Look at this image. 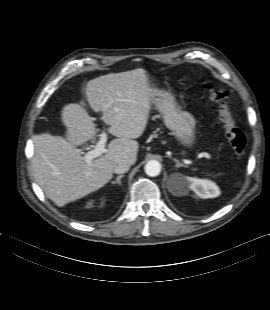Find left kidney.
<instances>
[{"instance_id":"1","label":"left kidney","mask_w":270,"mask_h":310,"mask_svg":"<svg viewBox=\"0 0 270 310\" xmlns=\"http://www.w3.org/2000/svg\"><path fill=\"white\" fill-rule=\"evenodd\" d=\"M184 184L201 198H215L220 195L219 187L207 179L184 177Z\"/></svg>"}]
</instances>
